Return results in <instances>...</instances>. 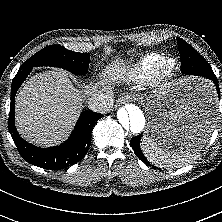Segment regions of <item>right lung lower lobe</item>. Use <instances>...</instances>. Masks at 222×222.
I'll return each mask as SVG.
<instances>
[{"label":"right lung lower lobe","instance_id":"right-lung-lower-lobe-1","mask_svg":"<svg viewBox=\"0 0 222 222\" xmlns=\"http://www.w3.org/2000/svg\"><path fill=\"white\" fill-rule=\"evenodd\" d=\"M33 67H20L11 86V103L8 128L20 155L27 162L50 170H61L79 162L87 153L91 144V132L102 114L92 111L81 113L79 120L63 144L53 148H39L23 140L18 134L14 121L15 95Z\"/></svg>","mask_w":222,"mask_h":222}]
</instances>
